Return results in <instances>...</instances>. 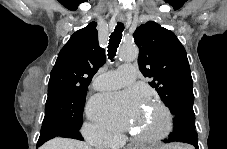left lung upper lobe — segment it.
I'll return each instance as SVG.
<instances>
[{
    "instance_id": "1",
    "label": "left lung upper lobe",
    "mask_w": 227,
    "mask_h": 149,
    "mask_svg": "<svg viewBox=\"0 0 227 149\" xmlns=\"http://www.w3.org/2000/svg\"><path fill=\"white\" fill-rule=\"evenodd\" d=\"M133 37L139 69L174 115V130L195 129L193 81L186 51L176 35L149 21Z\"/></svg>"
}]
</instances>
